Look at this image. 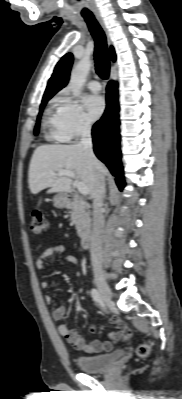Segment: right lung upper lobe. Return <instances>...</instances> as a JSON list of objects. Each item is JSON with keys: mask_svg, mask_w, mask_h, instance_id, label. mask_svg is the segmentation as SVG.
I'll return each instance as SVG.
<instances>
[{"mask_svg": "<svg viewBox=\"0 0 182 399\" xmlns=\"http://www.w3.org/2000/svg\"><path fill=\"white\" fill-rule=\"evenodd\" d=\"M110 56L113 61L116 59L114 48H110ZM73 62V55L67 53L61 60L57 63L52 77L49 79L47 88L43 95V99L51 98L59 90L65 87L69 81L70 69Z\"/></svg>", "mask_w": 182, "mask_h": 399, "instance_id": "cb5924a9", "label": "right lung upper lobe"}]
</instances>
